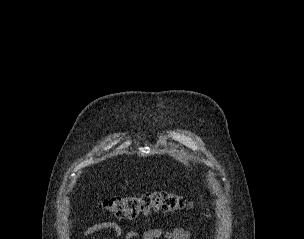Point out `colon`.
Segmentation results:
<instances>
[{"label": "colon", "mask_w": 304, "mask_h": 239, "mask_svg": "<svg viewBox=\"0 0 304 239\" xmlns=\"http://www.w3.org/2000/svg\"><path fill=\"white\" fill-rule=\"evenodd\" d=\"M100 207L118 218H135L154 212H176L188 209L189 200L177 193L155 191L136 196H114L103 200Z\"/></svg>", "instance_id": "1"}]
</instances>
